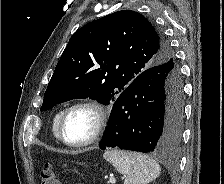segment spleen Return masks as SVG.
<instances>
[{"instance_id": "1", "label": "spleen", "mask_w": 224, "mask_h": 184, "mask_svg": "<svg viewBox=\"0 0 224 184\" xmlns=\"http://www.w3.org/2000/svg\"><path fill=\"white\" fill-rule=\"evenodd\" d=\"M103 157L125 175L124 184H148L161 172L160 165L154 159L140 153L111 150L105 152Z\"/></svg>"}]
</instances>
